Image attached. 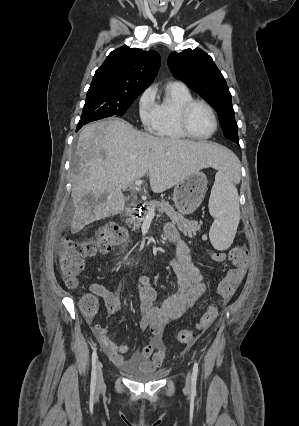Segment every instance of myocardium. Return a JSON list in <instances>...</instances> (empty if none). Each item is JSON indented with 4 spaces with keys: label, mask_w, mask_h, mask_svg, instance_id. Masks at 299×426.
Returning a JSON list of instances; mask_svg holds the SVG:
<instances>
[{
    "label": "myocardium",
    "mask_w": 299,
    "mask_h": 426,
    "mask_svg": "<svg viewBox=\"0 0 299 426\" xmlns=\"http://www.w3.org/2000/svg\"><path fill=\"white\" fill-rule=\"evenodd\" d=\"M196 105H202V106L206 107L209 110V112L211 113L212 117H213L214 129L208 135H205V136L197 135L190 128V125H189V116H190V113H191L192 109ZM179 125H180V128H181L182 132L187 137H190V138H193V139H198V140H205V139H209L213 135H215V133L217 132L218 127H219V122H218V117H217L216 111L214 110V108L208 102H206L204 100H200V99H192V100L186 102L182 106V108L180 110V113H179Z\"/></svg>",
    "instance_id": "myocardium-1"
}]
</instances>
